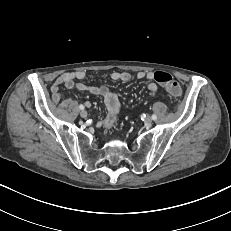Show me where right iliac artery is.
Listing matches in <instances>:
<instances>
[{
	"mask_svg": "<svg viewBox=\"0 0 231 231\" xmlns=\"http://www.w3.org/2000/svg\"><path fill=\"white\" fill-rule=\"evenodd\" d=\"M79 109H80V110H83V109H84V106H83V105H80V106H79Z\"/></svg>",
	"mask_w": 231,
	"mask_h": 231,
	"instance_id": "obj_1",
	"label": "right iliac artery"
}]
</instances>
